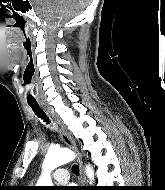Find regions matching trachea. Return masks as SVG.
I'll use <instances>...</instances> for the list:
<instances>
[{"label":"trachea","instance_id":"3493384b","mask_svg":"<svg viewBox=\"0 0 165 190\" xmlns=\"http://www.w3.org/2000/svg\"><path fill=\"white\" fill-rule=\"evenodd\" d=\"M29 105L32 107L33 111L35 112V114L44 119V121H46L47 123H49V120L47 118V116L45 115V113L41 110V108L39 107V105L37 103H29ZM72 172L75 175L79 174V167L77 165H73L72 166Z\"/></svg>","mask_w":165,"mask_h":190}]
</instances>
